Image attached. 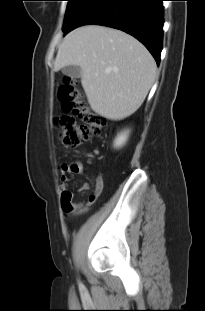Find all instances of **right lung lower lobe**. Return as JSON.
<instances>
[{
	"label": "right lung lower lobe",
	"instance_id": "98d812e1",
	"mask_svg": "<svg viewBox=\"0 0 205 311\" xmlns=\"http://www.w3.org/2000/svg\"><path fill=\"white\" fill-rule=\"evenodd\" d=\"M163 1L90 0L67 32L89 24L122 30L144 44L158 65L163 40Z\"/></svg>",
	"mask_w": 205,
	"mask_h": 311
}]
</instances>
